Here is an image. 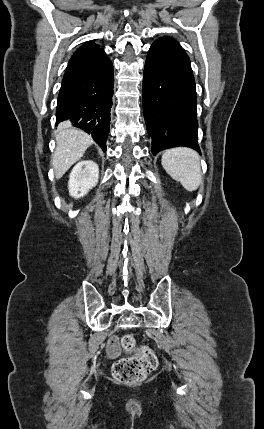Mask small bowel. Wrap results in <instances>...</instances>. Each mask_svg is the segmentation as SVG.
Segmentation results:
<instances>
[{"label": "small bowel", "instance_id": "obj_1", "mask_svg": "<svg viewBox=\"0 0 264 429\" xmlns=\"http://www.w3.org/2000/svg\"><path fill=\"white\" fill-rule=\"evenodd\" d=\"M107 353L110 357H117L120 353L118 338L111 336L107 342Z\"/></svg>", "mask_w": 264, "mask_h": 429}]
</instances>
